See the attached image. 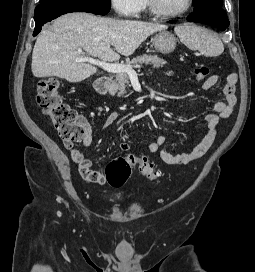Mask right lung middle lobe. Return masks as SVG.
<instances>
[{
	"mask_svg": "<svg viewBox=\"0 0 255 272\" xmlns=\"http://www.w3.org/2000/svg\"><path fill=\"white\" fill-rule=\"evenodd\" d=\"M40 4H72L106 15L111 8V0H40Z\"/></svg>",
	"mask_w": 255,
	"mask_h": 272,
	"instance_id": "right-lung-middle-lobe-1",
	"label": "right lung middle lobe"
}]
</instances>
